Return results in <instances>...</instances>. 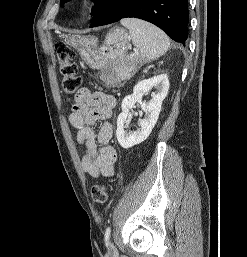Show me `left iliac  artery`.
I'll return each mask as SVG.
<instances>
[{"instance_id":"1","label":"left iliac artery","mask_w":247,"mask_h":257,"mask_svg":"<svg viewBox=\"0 0 247 257\" xmlns=\"http://www.w3.org/2000/svg\"><path fill=\"white\" fill-rule=\"evenodd\" d=\"M111 234V228L108 227L105 231V243L108 245Z\"/></svg>"}]
</instances>
